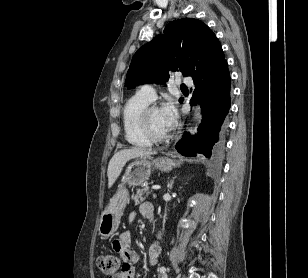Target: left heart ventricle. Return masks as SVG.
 <instances>
[{"label":"left heart ventricle","instance_id":"left-heart-ventricle-1","mask_svg":"<svg viewBox=\"0 0 308 278\" xmlns=\"http://www.w3.org/2000/svg\"><path fill=\"white\" fill-rule=\"evenodd\" d=\"M149 123L153 132L157 135H164L167 133L166 128L163 125L160 110H153L149 115Z\"/></svg>","mask_w":308,"mask_h":278}]
</instances>
